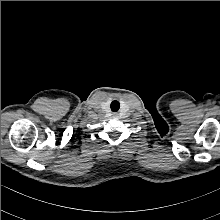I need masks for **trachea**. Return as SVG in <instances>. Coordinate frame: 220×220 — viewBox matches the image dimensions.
<instances>
[{
    "instance_id": "1",
    "label": "trachea",
    "mask_w": 220,
    "mask_h": 220,
    "mask_svg": "<svg viewBox=\"0 0 220 220\" xmlns=\"http://www.w3.org/2000/svg\"><path fill=\"white\" fill-rule=\"evenodd\" d=\"M110 107L113 112H117L120 108V103L117 100H114L112 101Z\"/></svg>"
}]
</instances>
